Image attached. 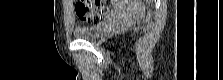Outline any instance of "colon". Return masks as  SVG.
<instances>
[{
    "instance_id": "1",
    "label": "colon",
    "mask_w": 223,
    "mask_h": 80,
    "mask_svg": "<svg viewBox=\"0 0 223 80\" xmlns=\"http://www.w3.org/2000/svg\"><path fill=\"white\" fill-rule=\"evenodd\" d=\"M75 11L80 21L96 24L106 15L108 8L100 0L78 1L75 5Z\"/></svg>"
}]
</instances>
